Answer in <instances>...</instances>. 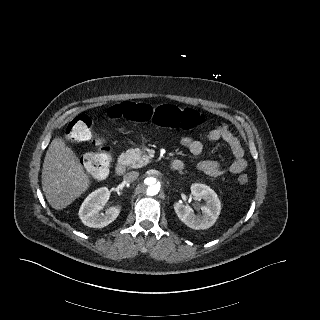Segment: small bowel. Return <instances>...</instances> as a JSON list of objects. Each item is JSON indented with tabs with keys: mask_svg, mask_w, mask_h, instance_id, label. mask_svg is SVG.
I'll return each mask as SVG.
<instances>
[{
	"mask_svg": "<svg viewBox=\"0 0 320 320\" xmlns=\"http://www.w3.org/2000/svg\"><path fill=\"white\" fill-rule=\"evenodd\" d=\"M207 139L211 142L223 140L230 148L234 160L227 166L221 165L215 160H204L197 164V169L211 177H221L227 173L239 174L247 167V161L244 158V148L240 140L223 123L216 125L208 135ZM181 144L187 148L193 155H200L204 149L201 140L190 136H183Z\"/></svg>",
	"mask_w": 320,
	"mask_h": 320,
	"instance_id": "obj_1",
	"label": "small bowel"
}]
</instances>
